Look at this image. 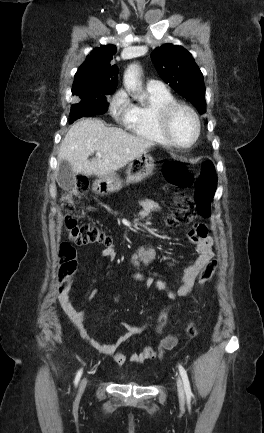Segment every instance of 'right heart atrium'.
<instances>
[{"label":"right heart atrium","instance_id":"obj_1","mask_svg":"<svg viewBox=\"0 0 264 433\" xmlns=\"http://www.w3.org/2000/svg\"><path fill=\"white\" fill-rule=\"evenodd\" d=\"M109 113L121 122H125L131 114L132 103L124 90H118L109 100Z\"/></svg>","mask_w":264,"mask_h":433}]
</instances>
